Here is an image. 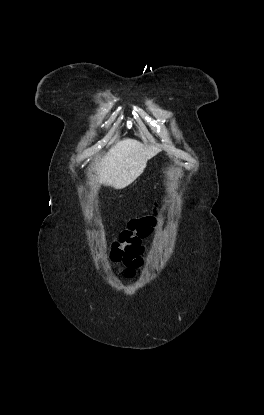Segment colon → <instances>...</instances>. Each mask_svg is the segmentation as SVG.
<instances>
[{"label":"colon","mask_w":264,"mask_h":415,"mask_svg":"<svg viewBox=\"0 0 264 415\" xmlns=\"http://www.w3.org/2000/svg\"><path fill=\"white\" fill-rule=\"evenodd\" d=\"M152 230V218L132 220L115 242L110 259L114 262L129 264L134 252L138 250L141 242L146 239Z\"/></svg>","instance_id":"5ec220e1"}]
</instances>
